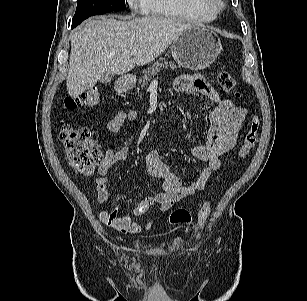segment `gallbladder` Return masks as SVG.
<instances>
[{
	"mask_svg": "<svg viewBox=\"0 0 307 301\" xmlns=\"http://www.w3.org/2000/svg\"><path fill=\"white\" fill-rule=\"evenodd\" d=\"M113 77H114L113 72H106L100 77L99 81L100 83H109L112 81Z\"/></svg>",
	"mask_w": 307,
	"mask_h": 301,
	"instance_id": "1",
	"label": "gallbladder"
}]
</instances>
